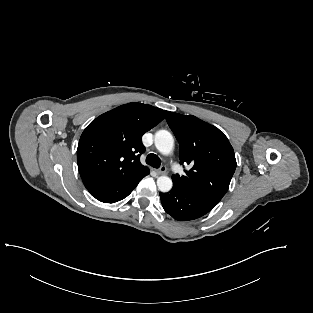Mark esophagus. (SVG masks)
<instances>
[{
  "mask_svg": "<svg viewBox=\"0 0 313 313\" xmlns=\"http://www.w3.org/2000/svg\"><path fill=\"white\" fill-rule=\"evenodd\" d=\"M158 175H163L166 173V167L165 166H161L159 169L156 170Z\"/></svg>",
  "mask_w": 313,
  "mask_h": 313,
  "instance_id": "esophagus-1",
  "label": "esophagus"
}]
</instances>
